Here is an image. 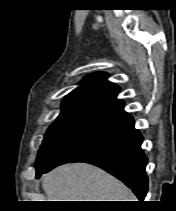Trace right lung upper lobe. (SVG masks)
<instances>
[{"mask_svg": "<svg viewBox=\"0 0 176 211\" xmlns=\"http://www.w3.org/2000/svg\"><path fill=\"white\" fill-rule=\"evenodd\" d=\"M107 74L92 73L62 102L58 117L96 124L125 114L124 102L117 99L120 88L107 81Z\"/></svg>", "mask_w": 176, "mask_h": 211, "instance_id": "cb5924a9", "label": "right lung upper lobe"}]
</instances>
